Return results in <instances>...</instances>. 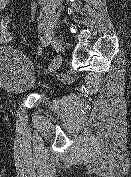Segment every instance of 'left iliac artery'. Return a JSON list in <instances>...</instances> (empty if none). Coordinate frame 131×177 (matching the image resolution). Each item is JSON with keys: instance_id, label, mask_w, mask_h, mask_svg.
Here are the masks:
<instances>
[{"instance_id": "obj_1", "label": "left iliac artery", "mask_w": 131, "mask_h": 177, "mask_svg": "<svg viewBox=\"0 0 131 177\" xmlns=\"http://www.w3.org/2000/svg\"><path fill=\"white\" fill-rule=\"evenodd\" d=\"M46 56H47V57H50V56H51V53H50V52H47V53H46ZM46 63H47V64H52V63H53V60H52V59H47V60H46Z\"/></svg>"}]
</instances>
